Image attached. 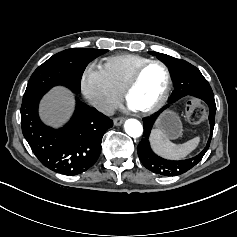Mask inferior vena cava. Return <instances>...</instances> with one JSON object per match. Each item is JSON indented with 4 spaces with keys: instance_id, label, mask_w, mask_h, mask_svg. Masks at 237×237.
Masks as SVG:
<instances>
[{
    "instance_id": "602c4592",
    "label": "inferior vena cava",
    "mask_w": 237,
    "mask_h": 237,
    "mask_svg": "<svg viewBox=\"0 0 237 237\" xmlns=\"http://www.w3.org/2000/svg\"><path fill=\"white\" fill-rule=\"evenodd\" d=\"M92 105L101 113L113 115L118 104H112L106 100H94Z\"/></svg>"
}]
</instances>
